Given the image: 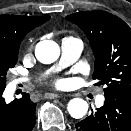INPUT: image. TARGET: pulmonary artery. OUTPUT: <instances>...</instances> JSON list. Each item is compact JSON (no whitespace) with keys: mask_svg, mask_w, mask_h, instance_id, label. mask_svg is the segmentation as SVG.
<instances>
[{"mask_svg":"<svg viewBox=\"0 0 131 131\" xmlns=\"http://www.w3.org/2000/svg\"><path fill=\"white\" fill-rule=\"evenodd\" d=\"M83 44L80 39L69 36L62 39L61 42V59L54 69H60L74 63L80 56ZM23 81V80H19ZM104 96L97 97V103L102 104Z\"/></svg>","mask_w":131,"mask_h":131,"instance_id":"1","label":"pulmonary artery"}]
</instances>
